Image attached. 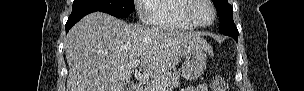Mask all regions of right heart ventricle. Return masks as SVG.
<instances>
[{"mask_svg":"<svg viewBox=\"0 0 304 91\" xmlns=\"http://www.w3.org/2000/svg\"><path fill=\"white\" fill-rule=\"evenodd\" d=\"M185 0H151L147 12L151 25L176 30H192L195 26L186 18Z\"/></svg>","mask_w":304,"mask_h":91,"instance_id":"obj_1","label":"right heart ventricle"}]
</instances>
